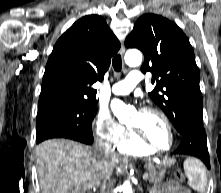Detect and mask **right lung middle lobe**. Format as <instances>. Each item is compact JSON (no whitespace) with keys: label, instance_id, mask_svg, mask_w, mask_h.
I'll return each mask as SVG.
<instances>
[{"label":"right lung middle lobe","instance_id":"1","mask_svg":"<svg viewBox=\"0 0 221 193\" xmlns=\"http://www.w3.org/2000/svg\"><path fill=\"white\" fill-rule=\"evenodd\" d=\"M96 113V104H55L38 108L36 143L60 137L87 143V139L93 138L91 124Z\"/></svg>","mask_w":221,"mask_h":193}]
</instances>
